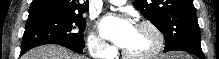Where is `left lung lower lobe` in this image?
<instances>
[{
    "mask_svg": "<svg viewBox=\"0 0 219 59\" xmlns=\"http://www.w3.org/2000/svg\"><path fill=\"white\" fill-rule=\"evenodd\" d=\"M169 51H186L194 54L199 59H205L200 45V39H185L181 40L170 47L164 49L163 52Z\"/></svg>",
    "mask_w": 219,
    "mask_h": 59,
    "instance_id": "1",
    "label": "left lung lower lobe"
}]
</instances>
